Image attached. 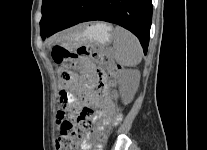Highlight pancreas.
<instances>
[{
    "label": "pancreas",
    "instance_id": "pancreas-1",
    "mask_svg": "<svg viewBox=\"0 0 207 150\" xmlns=\"http://www.w3.org/2000/svg\"><path fill=\"white\" fill-rule=\"evenodd\" d=\"M105 54L109 59H112V54L110 52H106Z\"/></svg>",
    "mask_w": 207,
    "mask_h": 150
}]
</instances>
